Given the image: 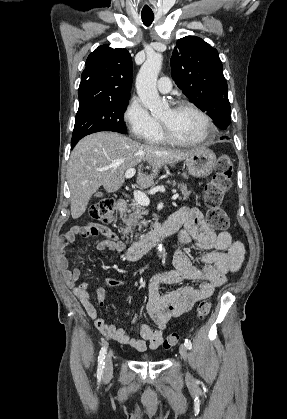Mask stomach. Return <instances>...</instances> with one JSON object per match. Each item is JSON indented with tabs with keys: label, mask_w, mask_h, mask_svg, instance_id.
Segmentation results:
<instances>
[{
	"label": "stomach",
	"mask_w": 287,
	"mask_h": 419,
	"mask_svg": "<svg viewBox=\"0 0 287 419\" xmlns=\"http://www.w3.org/2000/svg\"><path fill=\"white\" fill-rule=\"evenodd\" d=\"M216 163L215 153L207 148L197 149L186 159L189 174L196 178L208 177L216 167Z\"/></svg>",
	"instance_id": "1"
}]
</instances>
